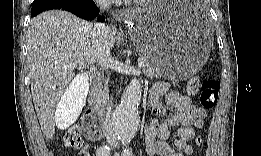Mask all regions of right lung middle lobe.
<instances>
[{"label": "right lung middle lobe", "mask_w": 261, "mask_h": 156, "mask_svg": "<svg viewBox=\"0 0 261 156\" xmlns=\"http://www.w3.org/2000/svg\"><path fill=\"white\" fill-rule=\"evenodd\" d=\"M55 1H58V0H34L33 5L51 3V2H55Z\"/></svg>", "instance_id": "dd1d6c3e"}]
</instances>
